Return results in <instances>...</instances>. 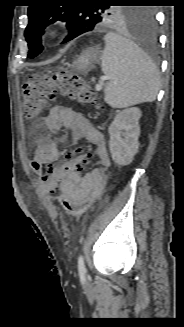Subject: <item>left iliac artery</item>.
<instances>
[{
    "label": "left iliac artery",
    "instance_id": "1",
    "mask_svg": "<svg viewBox=\"0 0 184 327\" xmlns=\"http://www.w3.org/2000/svg\"><path fill=\"white\" fill-rule=\"evenodd\" d=\"M78 270H79L80 275H85L86 268H85L84 259H83L82 255H80L78 258Z\"/></svg>",
    "mask_w": 184,
    "mask_h": 327
}]
</instances>
